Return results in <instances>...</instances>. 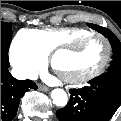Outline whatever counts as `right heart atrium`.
<instances>
[{"instance_id":"d8ad5b80","label":"right heart atrium","mask_w":121,"mask_h":121,"mask_svg":"<svg viewBox=\"0 0 121 121\" xmlns=\"http://www.w3.org/2000/svg\"><path fill=\"white\" fill-rule=\"evenodd\" d=\"M13 67L22 75L31 77L44 64V56L34 48L23 46L16 41L10 49Z\"/></svg>"}]
</instances>
